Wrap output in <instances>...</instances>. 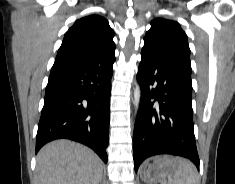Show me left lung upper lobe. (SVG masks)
<instances>
[{
  "label": "left lung upper lobe",
  "instance_id": "5c2ea615",
  "mask_svg": "<svg viewBox=\"0 0 235 184\" xmlns=\"http://www.w3.org/2000/svg\"><path fill=\"white\" fill-rule=\"evenodd\" d=\"M145 45L158 48L163 54L174 59L191 77L190 49L187 35L180 25L172 20L156 18L146 33Z\"/></svg>",
  "mask_w": 235,
  "mask_h": 184
}]
</instances>
